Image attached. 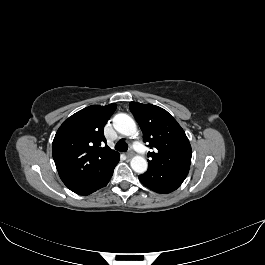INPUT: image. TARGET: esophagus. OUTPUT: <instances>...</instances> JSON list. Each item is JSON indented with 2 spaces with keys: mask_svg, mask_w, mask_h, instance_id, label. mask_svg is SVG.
I'll use <instances>...</instances> for the list:
<instances>
[{
  "mask_svg": "<svg viewBox=\"0 0 265 265\" xmlns=\"http://www.w3.org/2000/svg\"><path fill=\"white\" fill-rule=\"evenodd\" d=\"M127 157H132L134 155V151L132 149L128 150L126 153Z\"/></svg>",
  "mask_w": 265,
  "mask_h": 265,
  "instance_id": "obj_1",
  "label": "esophagus"
}]
</instances>
